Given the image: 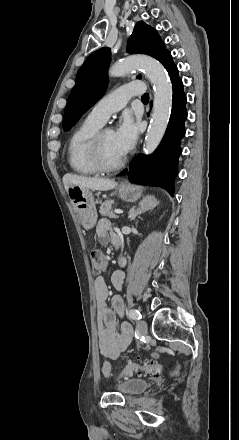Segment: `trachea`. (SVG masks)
<instances>
[{
	"instance_id": "3493384b",
	"label": "trachea",
	"mask_w": 239,
	"mask_h": 440,
	"mask_svg": "<svg viewBox=\"0 0 239 440\" xmlns=\"http://www.w3.org/2000/svg\"><path fill=\"white\" fill-rule=\"evenodd\" d=\"M142 101L144 103H147V101L149 100V94L148 93H144L141 97Z\"/></svg>"
}]
</instances>
